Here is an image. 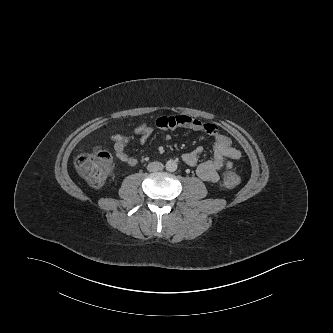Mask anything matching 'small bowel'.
<instances>
[{
    "label": "small bowel",
    "mask_w": 333,
    "mask_h": 333,
    "mask_svg": "<svg viewBox=\"0 0 333 333\" xmlns=\"http://www.w3.org/2000/svg\"><path fill=\"white\" fill-rule=\"evenodd\" d=\"M156 125L159 129L164 131L184 127L193 131L206 133L214 139L212 159L200 163L197 167V175L206 182H217L220 177V172L230 169L232 162L241 157L240 151L233 147L231 140L221 134L213 124L202 122L187 115H178L161 116L157 119ZM152 132L153 128L150 125L141 124L135 129L133 136L114 134L112 141L114 143L113 148L116 158L129 166H136L138 161L127 153V146L135 139L139 146L145 145L152 135ZM165 137L166 139L170 138L169 135ZM202 153L203 149L198 147L190 152L184 153L182 159L185 164L195 166Z\"/></svg>",
    "instance_id": "small-bowel-1"
}]
</instances>
